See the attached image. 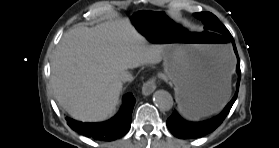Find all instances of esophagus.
I'll use <instances>...</instances> for the list:
<instances>
[{"label": "esophagus", "mask_w": 279, "mask_h": 148, "mask_svg": "<svg viewBox=\"0 0 279 148\" xmlns=\"http://www.w3.org/2000/svg\"><path fill=\"white\" fill-rule=\"evenodd\" d=\"M156 89V78L152 77L147 80L142 86V94L145 96L150 95Z\"/></svg>", "instance_id": "obj_1"}]
</instances>
